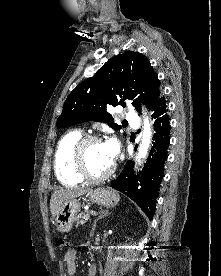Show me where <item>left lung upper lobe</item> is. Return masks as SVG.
Wrapping results in <instances>:
<instances>
[{
	"mask_svg": "<svg viewBox=\"0 0 221 276\" xmlns=\"http://www.w3.org/2000/svg\"><path fill=\"white\" fill-rule=\"evenodd\" d=\"M136 94L140 96L134 100ZM160 96V81L148 59L139 52L126 51L110 58L93 77L68 95L57 127L92 120L121 129L107 112L110 105L125 107L127 99L133 100V106L140 112V102L150 110Z\"/></svg>",
	"mask_w": 221,
	"mask_h": 276,
	"instance_id": "5c2ea615",
	"label": "left lung upper lobe"
}]
</instances>
